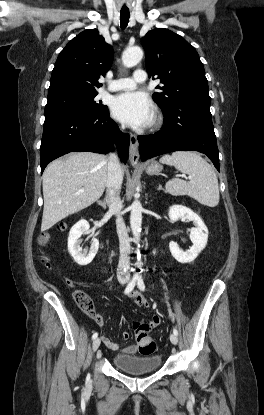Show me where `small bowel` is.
I'll list each match as a JSON object with an SVG mask.
<instances>
[{
	"instance_id": "small-bowel-1",
	"label": "small bowel",
	"mask_w": 264,
	"mask_h": 415,
	"mask_svg": "<svg viewBox=\"0 0 264 415\" xmlns=\"http://www.w3.org/2000/svg\"><path fill=\"white\" fill-rule=\"evenodd\" d=\"M131 297L133 298L134 302L141 308H148L150 305L147 298H145L138 292L132 293ZM96 323L99 326H104L106 323V318L101 315L97 316ZM159 323H160L159 315L153 314L151 318L145 323L139 324L137 322H134V328L136 330L137 327L139 326L142 331L148 332L152 330L153 328L157 327ZM122 338L124 340H128L130 338V334L128 332H123ZM101 340L108 349L119 352L120 354H123V355H135L137 352H140L143 355H147V353L144 352L143 350L142 344L139 343L138 341L128 346L121 347L119 343L111 340L107 336H102Z\"/></svg>"
}]
</instances>
